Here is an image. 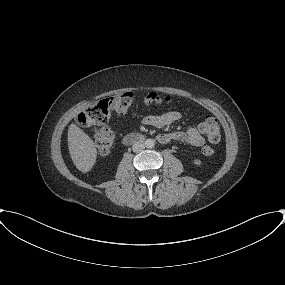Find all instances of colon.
<instances>
[{
    "mask_svg": "<svg viewBox=\"0 0 285 285\" xmlns=\"http://www.w3.org/2000/svg\"><path fill=\"white\" fill-rule=\"evenodd\" d=\"M169 97H162L156 93H148L138 96L132 92H123L116 94L110 98L101 100L94 106H91L78 115V122L86 128H92L97 131V150L100 155H107L114 143V134L110 128L106 126L110 116L114 113L123 115L127 113L135 103H141L145 106H158L169 103ZM209 141L217 144L220 141V125L219 122L211 116H206L200 124ZM202 153L206 156L214 154L211 146H204Z\"/></svg>",
    "mask_w": 285,
    "mask_h": 285,
    "instance_id": "5ec220e1",
    "label": "colon"
}]
</instances>
